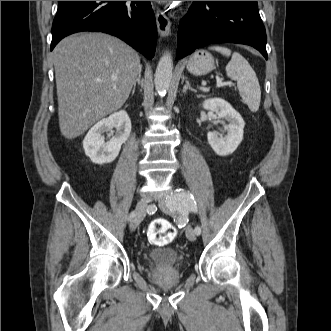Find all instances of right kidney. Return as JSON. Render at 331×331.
Here are the masks:
<instances>
[{"label": "right kidney", "mask_w": 331, "mask_h": 331, "mask_svg": "<svg viewBox=\"0 0 331 331\" xmlns=\"http://www.w3.org/2000/svg\"><path fill=\"white\" fill-rule=\"evenodd\" d=\"M116 128V134L105 141L104 132ZM131 133V121L128 114L121 110L113 113L96 123L83 140V148L86 156L95 164L111 163L118 156L121 145L125 143Z\"/></svg>", "instance_id": "right-kidney-1"}]
</instances>
